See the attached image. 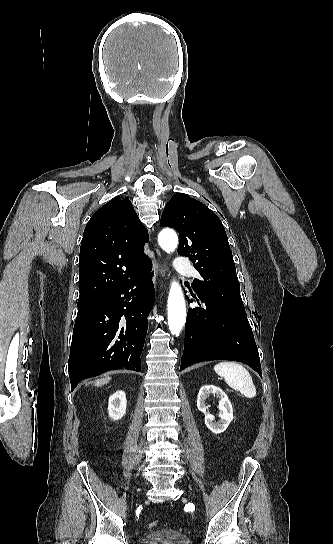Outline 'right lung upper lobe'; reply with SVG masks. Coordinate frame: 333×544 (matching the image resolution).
<instances>
[{"label":"right lung upper lobe","mask_w":333,"mask_h":544,"mask_svg":"<svg viewBox=\"0 0 333 544\" xmlns=\"http://www.w3.org/2000/svg\"><path fill=\"white\" fill-rule=\"evenodd\" d=\"M149 241L129 199L116 197L87 223L80 247L78 301L109 297L151 266L144 254Z\"/></svg>","instance_id":"right-lung-upper-lobe-1"}]
</instances>
